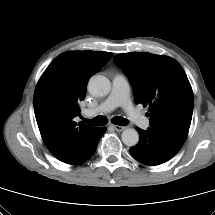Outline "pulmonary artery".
I'll return each mask as SVG.
<instances>
[{"label":"pulmonary artery","mask_w":215,"mask_h":215,"mask_svg":"<svg viewBox=\"0 0 215 215\" xmlns=\"http://www.w3.org/2000/svg\"><path fill=\"white\" fill-rule=\"evenodd\" d=\"M121 106L129 119L141 128L149 126V120L138 111L129 99V87L126 78L122 74H117L112 80V89L109 96L98 106L84 111L85 116L92 117L98 114H104Z\"/></svg>","instance_id":"obj_1"}]
</instances>
